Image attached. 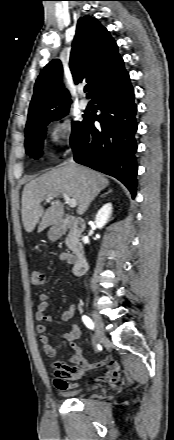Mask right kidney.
I'll list each match as a JSON object with an SVG mask.
<instances>
[{
	"instance_id": "1",
	"label": "right kidney",
	"mask_w": 174,
	"mask_h": 440,
	"mask_svg": "<svg viewBox=\"0 0 174 440\" xmlns=\"http://www.w3.org/2000/svg\"><path fill=\"white\" fill-rule=\"evenodd\" d=\"M112 213V204L106 203L101 207L95 217V224L98 228H102L111 217Z\"/></svg>"
}]
</instances>
